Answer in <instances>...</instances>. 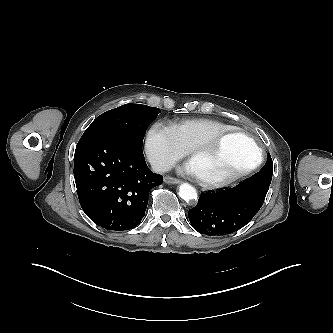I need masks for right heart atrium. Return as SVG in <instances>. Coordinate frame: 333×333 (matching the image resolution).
Returning a JSON list of instances; mask_svg holds the SVG:
<instances>
[{
	"label": "right heart atrium",
	"instance_id": "right-heart-atrium-1",
	"mask_svg": "<svg viewBox=\"0 0 333 333\" xmlns=\"http://www.w3.org/2000/svg\"><path fill=\"white\" fill-rule=\"evenodd\" d=\"M146 154L156 170L165 171L186 154V149L170 127L155 122L147 132Z\"/></svg>",
	"mask_w": 333,
	"mask_h": 333
}]
</instances>
